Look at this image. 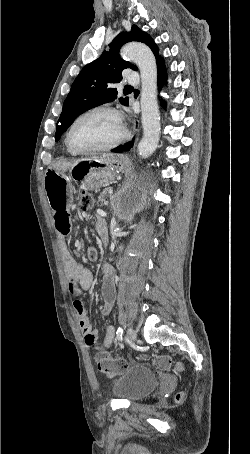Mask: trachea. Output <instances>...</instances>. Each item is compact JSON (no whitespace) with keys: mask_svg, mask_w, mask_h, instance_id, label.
<instances>
[{"mask_svg":"<svg viewBox=\"0 0 250 454\" xmlns=\"http://www.w3.org/2000/svg\"><path fill=\"white\" fill-rule=\"evenodd\" d=\"M130 88H132V86H129V85L125 86V89H130Z\"/></svg>","mask_w":250,"mask_h":454,"instance_id":"3493384b","label":"trachea"}]
</instances>
